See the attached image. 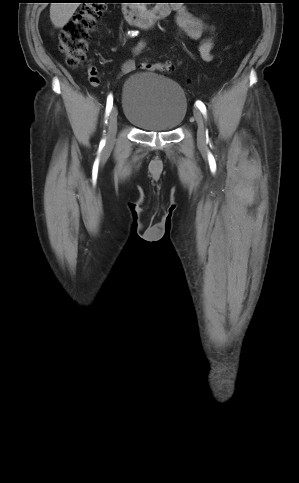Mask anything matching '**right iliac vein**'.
<instances>
[{
    "instance_id": "obj_1",
    "label": "right iliac vein",
    "mask_w": 299,
    "mask_h": 483,
    "mask_svg": "<svg viewBox=\"0 0 299 483\" xmlns=\"http://www.w3.org/2000/svg\"><path fill=\"white\" fill-rule=\"evenodd\" d=\"M117 116L118 111L116 107H113L109 117V127H108V142L111 144L114 141L116 131H117Z\"/></svg>"
}]
</instances>
